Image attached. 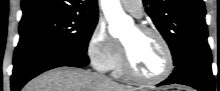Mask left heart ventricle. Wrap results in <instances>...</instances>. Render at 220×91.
<instances>
[{
  "label": "left heart ventricle",
  "instance_id": "b2bd125f",
  "mask_svg": "<svg viewBox=\"0 0 220 91\" xmlns=\"http://www.w3.org/2000/svg\"><path fill=\"white\" fill-rule=\"evenodd\" d=\"M133 69L140 75L153 77L160 74L166 65V57L160 42L149 34L131 28L123 37Z\"/></svg>",
  "mask_w": 220,
  "mask_h": 91
}]
</instances>
